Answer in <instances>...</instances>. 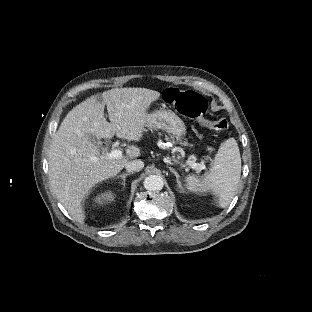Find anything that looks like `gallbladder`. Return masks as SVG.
I'll return each mask as SVG.
<instances>
[{
    "label": "gallbladder",
    "instance_id": "gallbladder-1",
    "mask_svg": "<svg viewBox=\"0 0 312 312\" xmlns=\"http://www.w3.org/2000/svg\"><path fill=\"white\" fill-rule=\"evenodd\" d=\"M89 139L99 150L103 148L102 142L98 138H96L93 134L89 135Z\"/></svg>",
    "mask_w": 312,
    "mask_h": 312
}]
</instances>
